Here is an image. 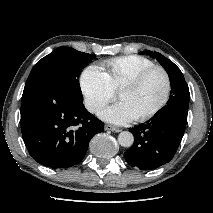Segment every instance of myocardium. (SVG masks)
Returning <instances> with one entry per match:
<instances>
[{"label":"myocardium","mask_w":213,"mask_h":213,"mask_svg":"<svg viewBox=\"0 0 213 213\" xmlns=\"http://www.w3.org/2000/svg\"><path fill=\"white\" fill-rule=\"evenodd\" d=\"M157 71L161 72L165 78L166 88H165L164 96L154 108H152L151 110H149L148 112H146L145 114L141 116L135 117L136 121L142 122L152 118L167 104L171 95V90H172V81H171V77L169 73L167 72L166 69L160 66H153V67L144 69L138 74H136L135 76H133L131 79H129L127 82H125L118 91V96H119V94L122 91L127 89H132L138 86L148 75Z\"/></svg>","instance_id":"1"}]
</instances>
